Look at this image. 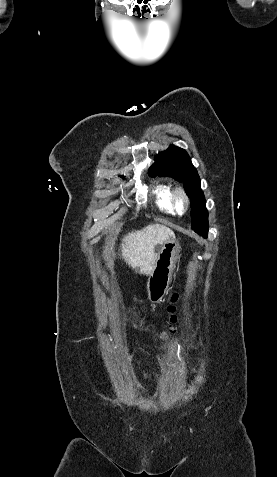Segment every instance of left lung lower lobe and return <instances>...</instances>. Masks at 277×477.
<instances>
[{
	"mask_svg": "<svg viewBox=\"0 0 277 477\" xmlns=\"http://www.w3.org/2000/svg\"><path fill=\"white\" fill-rule=\"evenodd\" d=\"M196 233L202 235L203 237H206L208 233V229H206L205 231H197Z\"/></svg>",
	"mask_w": 277,
	"mask_h": 477,
	"instance_id": "obj_1",
	"label": "left lung lower lobe"
}]
</instances>
